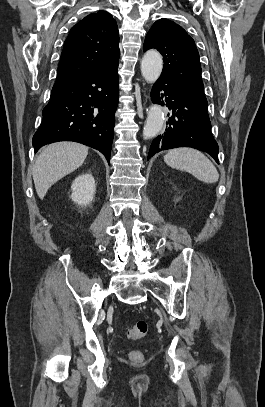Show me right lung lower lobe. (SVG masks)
<instances>
[{"instance_id":"1","label":"right lung lower lobe","mask_w":265,"mask_h":407,"mask_svg":"<svg viewBox=\"0 0 265 407\" xmlns=\"http://www.w3.org/2000/svg\"><path fill=\"white\" fill-rule=\"evenodd\" d=\"M118 62L55 88L33 137L35 152L57 141H76L103 153L110 164L118 104Z\"/></svg>"}]
</instances>
